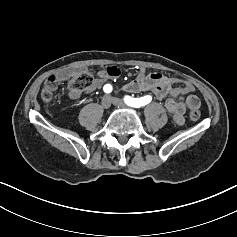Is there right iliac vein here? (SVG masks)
I'll return each instance as SVG.
<instances>
[{"label": "right iliac vein", "mask_w": 237, "mask_h": 237, "mask_svg": "<svg viewBox=\"0 0 237 237\" xmlns=\"http://www.w3.org/2000/svg\"><path fill=\"white\" fill-rule=\"evenodd\" d=\"M101 106L103 109H108L111 106V97L106 95L101 100Z\"/></svg>", "instance_id": "obj_1"}]
</instances>
